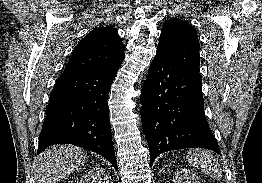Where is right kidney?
Masks as SVG:
<instances>
[{"label": "right kidney", "mask_w": 262, "mask_h": 183, "mask_svg": "<svg viewBox=\"0 0 262 183\" xmlns=\"http://www.w3.org/2000/svg\"><path fill=\"white\" fill-rule=\"evenodd\" d=\"M109 173L105 168L97 166L88 170L81 179V183H109Z\"/></svg>", "instance_id": "obj_1"}]
</instances>
